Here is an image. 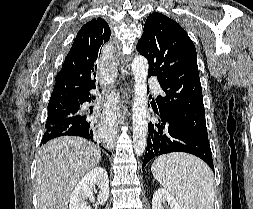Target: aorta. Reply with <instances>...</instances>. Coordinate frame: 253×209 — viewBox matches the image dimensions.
I'll use <instances>...</instances> for the list:
<instances>
[{"label":"aorta","mask_w":253,"mask_h":209,"mask_svg":"<svg viewBox=\"0 0 253 209\" xmlns=\"http://www.w3.org/2000/svg\"><path fill=\"white\" fill-rule=\"evenodd\" d=\"M132 73L135 80L133 103V146L137 156L143 155L147 144V75L148 61L137 56L132 62Z\"/></svg>","instance_id":"obj_1"}]
</instances>
